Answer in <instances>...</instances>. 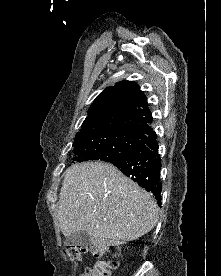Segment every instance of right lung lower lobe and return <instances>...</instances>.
<instances>
[{
	"label": "right lung lower lobe",
	"instance_id": "98d812e1",
	"mask_svg": "<svg viewBox=\"0 0 221 276\" xmlns=\"http://www.w3.org/2000/svg\"><path fill=\"white\" fill-rule=\"evenodd\" d=\"M156 138V133L152 130L139 147L127 156L115 159L110 163L131 177L142 188L150 191L155 196L158 205L161 206V162Z\"/></svg>",
	"mask_w": 221,
	"mask_h": 276
}]
</instances>
